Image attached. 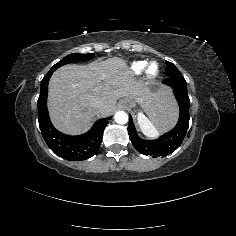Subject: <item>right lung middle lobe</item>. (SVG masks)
<instances>
[{
    "mask_svg": "<svg viewBox=\"0 0 236 236\" xmlns=\"http://www.w3.org/2000/svg\"><path fill=\"white\" fill-rule=\"evenodd\" d=\"M94 58V54H70L64 57L61 61L55 64L51 69L56 70L57 68L61 67L62 65L73 63V62H83L88 61Z\"/></svg>",
    "mask_w": 236,
    "mask_h": 236,
    "instance_id": "1",
    "label": "right lung middle lobe"
}]
</instances>
